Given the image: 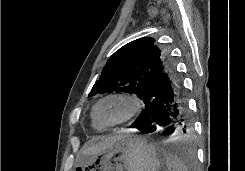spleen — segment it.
I'll return each instance as SVG.
<instances>
[{
  "mask_svg": "<svg viewBox=\"0 0 245 171\" xmlns=\"http://www.w3.org/2000/svg\"><path fill=\"white\" fill-rule=\"evenodd\" d=\"M167 171H189L186 164L175 154L162 150Z\"/></svg>",
  "mask_w": 245,
  "mask_h": 171,
  "instance_id": "obj_1",
  "label": "spleen"
}]
</instances>
